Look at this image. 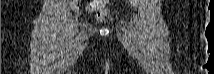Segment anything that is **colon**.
I'll return each mask as SVG.
<instances>
[{
  "label": "colon",
  "mask_w": 214,
  "mask_h": 74,
  "mask_svg": "<svg viewBox=\"0 0 214 74\" xmlns=\"http://www.w3.org/2000/svg\"><path fill=\"white\" fill-rule=\"evenodd\" d=\"M108 0H95L91 1L88 5L90 11L96 12V18L99 21H104L110 17V9L108 7Z\"/></svg>",
  "instance_id": "colon-1"
}]
</instances>
